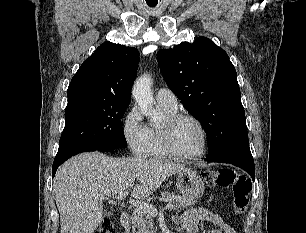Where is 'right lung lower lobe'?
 <instances>
[{"label":"right lung lower lobe","mask_w":306,"mask_h":233,"mask_svg":"<svg viewBox=\"0 0 306 233\" xmlns=\"http://www.w3.org/2000/svg\"><path fill=\"white\" fill-rule=\"evenodd\" d=\"M117 148L115 147H103V148H96V147H90V148H81L75 151H72L62 157L59 158H55L54 162H53V167H52V176L54 177L57 168L67 159H69L70 157H72L73 155H76L78 153H82V152H87V151H113Z\"/></svg>","instance_id":"1"}]
</instances>
